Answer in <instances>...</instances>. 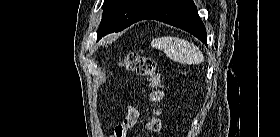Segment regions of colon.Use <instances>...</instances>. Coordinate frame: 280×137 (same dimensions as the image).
I'll use <instances>...</instances> for the list:
<instances>
[{"mask_svg":"<svg viewBox=\"0 0 280 137\" xmlns=\"http://www.w3.org/2000/svg\"><path fill=\"white\" fill-rule=\"evenodd\" d=\"M120 66L141 77H146L150 87V117L146 123L147 134L152 136L160 130V104L163 100L162 75L153 58L129 53L120 60ZM128 126L122 123L114 127L111 137H126Z\"/></svg>","mask_w":280,"mask_h":137,"instance_id":"1","label":"colon"}]
</instances>
